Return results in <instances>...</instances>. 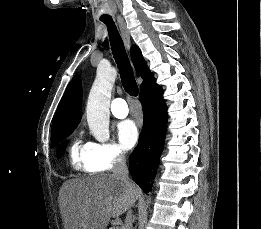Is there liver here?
I'll use <instances>...</instances> for the list:
<instances>
[{"mask_svg":"<svg viewBox=\"0 0 261 229\" xmlns=\"http://www.w3.org/2000/svg\"><path fill=\"white\" fill-rule=\"evenodd\" d=\"M64 187L66 229H106L111 217L119 219L138 199L134 183L126 187L112 175L71 179Z\"/></svg>","mask_w":261,"mask_h":229,"instance_id":"6515ba94","label":"liver"}]
</instances>
